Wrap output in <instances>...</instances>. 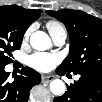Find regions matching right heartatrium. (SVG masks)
Listing matches in <instances>:
<instances>
[{"instance_id": "1", "label": "right heart atrium", "mask_w": 102, "mask_h": 102, "mask_svg": "<svg viewBox=\"0 0 102 102\" xmlns=\"http://www.w3.org/2000/svg\"><path fill=\"white\" fill-rule=\"evenodd\" d=\"M31 31H32V28H29V29L27 30V32L25 33V37H26V38L30 35Z\"/></svg>"}]
</instances>
